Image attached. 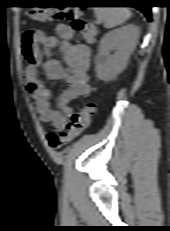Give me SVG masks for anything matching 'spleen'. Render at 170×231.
<instances>
[{"label":"spleen","instance_id":"3e777b00","mask_svg":"<svg viewBox=\"0 0 170 231\" xmlns=\"http://www.w3.org/2000/svg\"><path fill=\"white\" fill-rule=\"evenodd\" d=\"M96 18L104 21L107 29L123 24L131 17L127 7H94Z\"/></svg>","mask_w":170,"mask_h":231}]
</instances>
